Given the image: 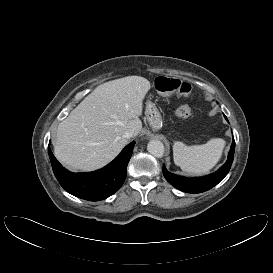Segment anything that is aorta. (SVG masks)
Here are the masks:
<instances>
[{"label":"aorta","mask_w":273,"mask_h":273,"mask_svg":"<svg viewBox=\"0 0 273 273\" xmlns=\"http://www.w3.org/2000/svg\"><path fill=\"white\" fill-rule=\"evenodd\" d=\"M148 152L154 157L160 158L164 155V144L159 140H151L147 145Z\"/></svg>","instance_id":"aorta-1"}]
</instances>
